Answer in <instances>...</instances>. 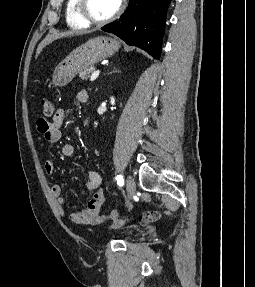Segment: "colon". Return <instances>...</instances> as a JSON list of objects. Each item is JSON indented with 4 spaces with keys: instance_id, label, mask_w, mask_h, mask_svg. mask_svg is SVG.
<instances>
[{
    "instance_id": "1",
    "label": "colon",
    "mask_w": 255,
    "mask_h": 287,
    "mask_svg": "<svg viewBox=\"0 0 255 287\" xmlns=\"http://www.w3.org/2000/svg\"><path fill=\"white\" fill-rule=\"evenodd\" d=\"M41 107H42L43 114L46 117H50L54 114L55 105H54V102L51 101L50 99L43 98L41 100ZM119 216H120V212L118 210H111L105 215V218L115 220V219H118Z\"/></svg>"
}]
</instances>
